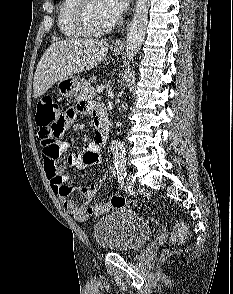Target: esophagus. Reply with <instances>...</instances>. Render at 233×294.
Wrapping results in <instances>:
<instances>
[{
	"label": "esophagus",
	"mask_w": 233,
	"mask_h": 294,
	"mask_svg": "<svg viewBox=\"0 0 233 294\" xmlns=\"http://www.w3.org/2000/svg\"><path fill=\"white\" fill-rule=\"evenodd\" d=\"M112 46L113 47H122L123 46V40L122 39H116L115 41H113Z\"/></svg>",
	"instance_id": "obj_1"
}]
</instances>
